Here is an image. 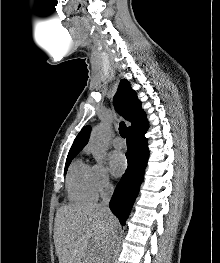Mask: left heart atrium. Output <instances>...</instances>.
<instances>
[{"mask_svg": "<svg viewBox=\"0 0 220 263\" xmlns=\"http://www.w3.org/2000/svg\"><path fill=\"white\" fill-rule=\"evenodd\" d=\"M111 171L115 176H120L127 167V160L125 155L120 151H113L110 156Z\"/></svg>", "mask_w": 220, "mask_h": 263, "instance_id": "39dd6f15", "label": "left heart atrium"}]
</instances>
